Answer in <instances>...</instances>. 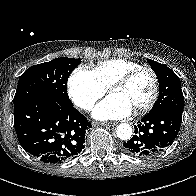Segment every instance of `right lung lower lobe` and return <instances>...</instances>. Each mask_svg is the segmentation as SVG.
Instances as JSON below:
<instances>
[{
    "label": "right lung lower lobe",
    "mask_w": 196,
    "mask_h": 196,
    "mask_svg": "<svg viewBox=\"0 0 196 196\" xmlns=\"http://www.w3.org/2000/svg\"><path fill=\"white\" fill-rule=\"evenodd\" d=\"M14 127L23 149L44 163L75 158L91 123L73 105L35 97L14 105Z\"/></svg>",
    "instance_id": "right-lung-lower-lobe-1"
}]
</instances>
